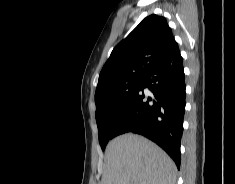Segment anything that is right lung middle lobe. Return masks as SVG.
I'll list each match as a JSON object with an SVG mask.
<instances>
[{
    "mask_svg": "<svg viewBox=\"0 0 235 184\" xmlns=\"http://www.w3.org/2000/svg\"><path fill=\"white\" fill-rule=\"evenodd\" d=\"M143 80L111 88L107 91V102L96 107V122L98 126L99 143L102 150L108 141L116 137L115 129L128 108L133 97L142 87Z\"/></svg>",
    "mask_w": 235,
    "mask_h": 184,
    "instance_id": "dd1d6c3e",
    "label": "right lung middle lobe"
}]
</instances>
